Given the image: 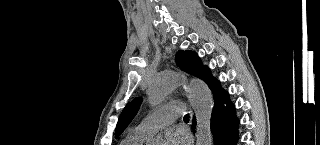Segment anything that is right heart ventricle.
<instances>
[{"label":"right heart ventricle","mask_w":320,"mask_h":145,"mask_svg":"<svg viewBox=\"0 0 320 145\" xmlns=\"http://www.w3.org/2000/svg\"><path fill=\"white\" fill-rule=\"evenodd\" d=\"M149 137L136 130L130 131L121 141V145H143Z\"/></svg>","instance_id":"obj_1"}]
</instances>
